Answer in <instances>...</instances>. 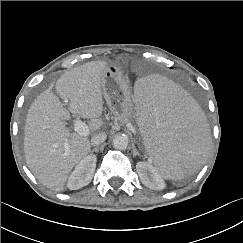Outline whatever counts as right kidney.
<instances>
[{
    "mask_svg": "<svg viewBox=\"0 0 243 243\" xmlns=\"http://www.w3.org/2000/svg\"><path fill=\"white\" fill-rule=\"evenodd\" d=\"M97 158L95 155H88L82 159L69 176L67 187L70 190L80 189L92 180Z\"/></svg>",
    "mask_w": 243,
    "mask_h": 243,
    "instance_id": "ca27d5eb",
    "label": "right kidney"
}]
</instances>
